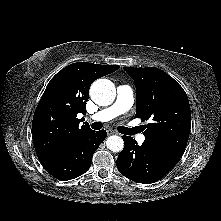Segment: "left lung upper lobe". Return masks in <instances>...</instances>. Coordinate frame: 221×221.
Returning a JSON list of instances; mask_svg holds the SVG:
<instances>
[{"mask_svg":"<svg viewBox=\"0 0 221 221\" xmlns=\"http://www.w3.org/2000/svg\"><path fill=\"white\" fill-rule=\"evenodd\" d=\"M136 85V118L150 120L145 142L180 159L187 145L191 112L183 88L167 73L155 68L123 67Z\"/></svg>","mask_w":221,"mask_h":221,"instance_id":"1","label":"left lung upper lobe"}]
</instances>
